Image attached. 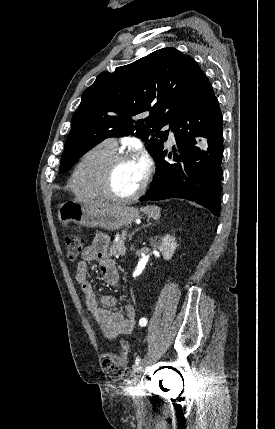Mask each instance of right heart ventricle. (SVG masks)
Here are the masks:
<instances>
[{"instance_id": "e07e8e85", "label": "right heart ventricle", "mask_w": 275, "mask_h": 429, "mask_svg": "<svg viewBox=\"0 0 275 429\" xmlns=\"http://www.w3.org/2000/svg\"><path fill=\"white\" fill-rule=\"evenodd\" d=\"M115 151L104 143L89 149L74 167L68 186L75 195L88 199L99 200L103 196L99 190V178L105 162Z\"/></svg>"}]
</instances>
